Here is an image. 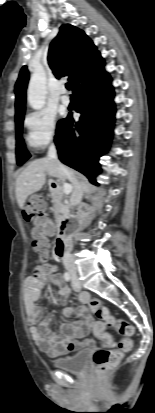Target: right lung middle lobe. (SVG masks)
<instances>
[{
	"label": "right lung middle lobe",
	"mask_w": 155,
	"mask_h": 413,
	"mask_svg": "<svg viewBox=\"0 0 155 413\" xmlns=\"http://www.w3.org/2000/svg\"><path fill=\"white\" fill-rule=\"evenodd\" d=\"M23 119H20L18 121H16V131H17V137H16V159H17V164L18 165H22L27 159L30 158V154L29 152L26 150L25 148V144L24 141L21 137V132H22V125H23ZM63 120H60L57 124V130L56 133L58 132V130L61 128L62 124H63Z\"/></svg>",
	"instance_id": "1"
}]
</instances>
